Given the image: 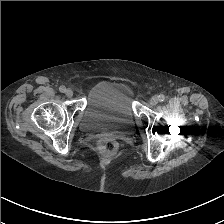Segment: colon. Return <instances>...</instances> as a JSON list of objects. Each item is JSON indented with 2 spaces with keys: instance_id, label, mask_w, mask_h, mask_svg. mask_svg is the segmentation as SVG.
I'll return each mask as SVG.
<instances>
[{
  "instance_id": "colon-1",
  "label": "colon",
  "mask_w": 224,
  "mask_h": 224,
  "mask_svg": "<svg viewBox=\"0 0 224 224\" xmlns=\"http://www.w3.org/2000/svg\"><path fill=\"white\" fill-rule=\"evenodd\" d=\"M100 149L106 153H113L117 150V143L110 139H104L100 141Z\"/></svg>"
}]
</instances>
